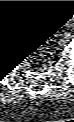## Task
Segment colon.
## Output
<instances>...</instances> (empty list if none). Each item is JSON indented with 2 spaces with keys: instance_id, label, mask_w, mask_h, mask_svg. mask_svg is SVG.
Wrapping results in <instances>:
<instances>
[{
  "instance_id": "colon-1",
  "label": "colon",
  "mask_w": 74,
  "mask_h": 122,
  "mask_svg": "<svg viewBox=\"0 0 74 122\" xmlns=\"http://www.w3.org/2000/svg\"><path fill=\"white\" fill-rule=\"evenodd\" d=\"M53 3L44 4L43 8L32 12L28 16V21L25 30L32 35L28 43L27 55L34 56L36 52L44 56V45L53 33L52 24L49 20V15L52 13ZM42 5V4H41Z\"/></svg>"
}]
</instances>
